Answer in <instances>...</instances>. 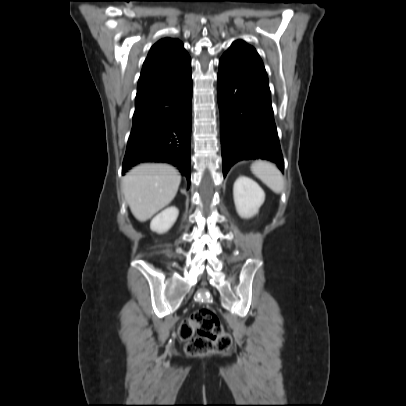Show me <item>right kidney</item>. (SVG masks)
Instances as JSON below:
<instances>
[{
	"instance_id": "1",
	"label": "right kidney",
	"mask_w": 406,
	"mask_h": 406,
	"mask_svg": "<svg viewBox=\"0 0 406 406\" xmlns=\"http://www.w3.org/2000/svg\"><path fill=\"white\" fill-rule=\"evenodd\" d=\"M178 214L179 211L175 206L166 208L152 219L150 223L151 230L157 233L167 232L175 223Z\"/></svg>"
}]
</instances>
